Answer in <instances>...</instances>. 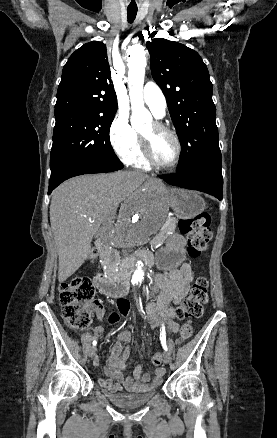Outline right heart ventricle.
Instances as JSON below:
<instances>
[{
  "instance_id": "e07e8e85",
  "label": "right heart ventricle",
  "mask_w": 277,
  "mask_h": 438,
  "mask_svg": "<svg viewBox=\"0 0 277 438\" xmlns=\"http://www.w3.org/2000/svg\"><path fill=\"white\" fill-rule=\"evenodd\" d=\"M129 161L137 168L143 169V170H149L150 169V163L146 160L143 151L141 150L140 145H138V149L134 156L129 159Z\"/></svg>"
}]
</instances>
